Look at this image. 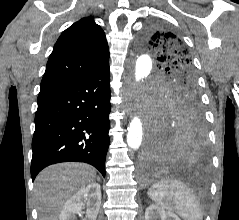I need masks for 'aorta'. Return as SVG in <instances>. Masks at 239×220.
I'll return each instance as SVG.
<instances>
[{
    "label": "aorta",
    "mask_w": 239,
    "mask_h": 220,
    "mask_svg": "<svg viewBox=\"0 0 239 220\" xmlns=\"http://www.w3.org/2000/svg\"><path fill=\"white\" fill-rule=\"evenodd\" d=\"M136 60L134 80L136 84L147 81L152 72V62L149 56L141 55ZM143 137V123L138 116L133 117L128 127L127 145L130 149L137 150L141 146Z\"/></svg>",
    "instance_id": "762f6f07"
}]
</instances>
